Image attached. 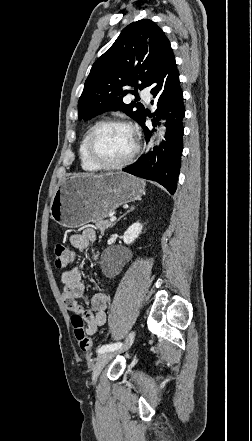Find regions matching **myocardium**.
Masks as SVG:
<instances>
[{"instance_id":"1","label":"myocardium","mask_w":252,"mask_h":441,"mask_svg":"<svg viewBox=\"0 0 252 441\" xmlns=\"http://www.w3.org/2000/svg\"><path fill=\"white\" fill-rule=\"evenodd\" d=\"M112 125L123 126V127L127 128L133 136V143L134 144H133L132 151L125 159H123L117 163H105V162L101 161L98 157H96V155L94 154L93 144H94V140H95L97 134L99 133V131L106 126H112ZM139 149H140V145H139V140H138L137 131H136L135 127L130 122L123 120V119H119V118L106 119V120L98 122L92 128L90 135L88 137V140H87V144H86V153H87L89 160L94 165L99 167L100 169H107V170L121 169V168L127 166L136 157V155L139 152Z\"/></svg>"}]
</instances>
